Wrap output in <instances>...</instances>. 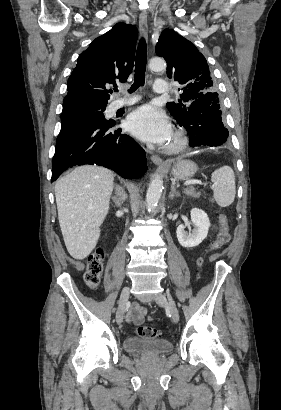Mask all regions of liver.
Masks as SVG:
<instances>
[{"label": "liver", "instance_id": "6515ba94", "mask_svg": "<svg viewBox=\"0 0 281 410\" xmlns=\"http://www.w3.org/2000/svg\"><path fill=\"white\" fill-rule=\"evenodd\" d=\"M114 174L99 166L75 168L55 184L58 219L69 254L86 258L96 247L109 211Z\"/></svg>", "mask_w": 281, "mask_h": 410}]
</instances>
